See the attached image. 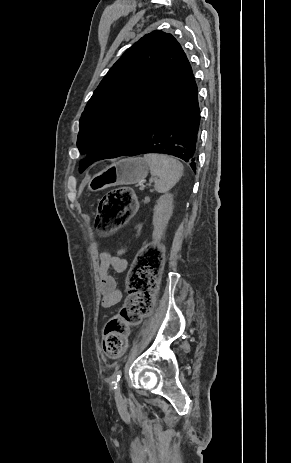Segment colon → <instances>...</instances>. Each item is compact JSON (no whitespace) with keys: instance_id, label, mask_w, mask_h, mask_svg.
<instances>
[{"instance_id":"obj_1","label":"colon","mask_w":291,"mask_h":463,"mask_svg":"<svg viewBox=\"0 0 291 463\" xmlns=\"http://www.w3.org/2000/svg\"><path fill=\"white\" fill-rule=\"evenodd\" d=\"M136 207L132 189L119 187L109 191L98 204L96 229L101 233L118 229L128 222ZM163 259V249L155 243L144 246L137 254L126 279V302L119 314L108 320L103 331L102 346L107 356H121L129 326L138 324L151 312Z\"/></svg>"}]
</instances>
